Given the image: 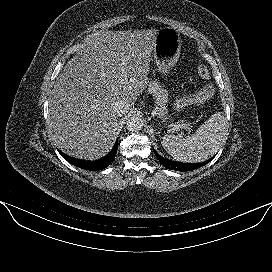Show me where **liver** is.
I'll return each mask as SVG.
<instances>
[{
  "mask_svg": "<svg viewBox=\"0 0 272 272\" xmlns=\"http://www.w3.org/2000/svg\"><path fill=\"white\" fill-rule=\"evenodd\" d=\"M157 33L101 30L86 38L59 74L49 101V127L59 149L86 160L108 153L117 135L113 106H132L146 89Z\"/></svg>",
  "mask_w": 272,
  "mask_h": 272,
  "instance_id": "liver-1",
  "label": "liver"
}]
</instances>
